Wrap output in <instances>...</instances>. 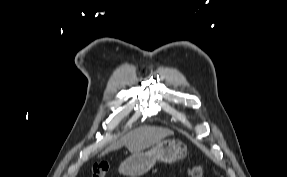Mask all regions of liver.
I'll return each mask as SVG.
<instances>
[{
  "mask_svg": "<svg viewBox=\"0 0 287 177\" xmlns=\"http://www.w3.org/2000/svg\"><path fill=\"white\" fill-rule=\"evenodd\" d=\"M174 132L167 128L155 127V126H141L136 128L123 136L120 140L109 146L103 153L107 154L112 150L126 146L131 153H138L146 148L157 144L165 137L173 135Z\"/></svg>",
  "mask_w": 287,
  "mask_h": 177,
  "instance_id": "1",
  "label": "liver"
}]
</instances>
